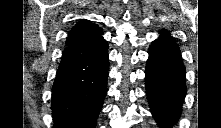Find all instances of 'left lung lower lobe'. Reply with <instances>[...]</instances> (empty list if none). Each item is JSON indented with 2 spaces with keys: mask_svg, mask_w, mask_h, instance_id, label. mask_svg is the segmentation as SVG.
<instances>
[{
  "mask_svg": "<svg viewBox=\"0 0 221 128\" xmlns=\"http://www.w3.org/2000/svg\"><path fill=\"white\" fill-rule=\"evenodd\" d=\"M145 73L151 112L160 127L170 128L180 117L186 85L181 53L169 32L151 44Z\"/></svg>",
  "mask_w": 221,
  "mask_h": 128,
  "instance_id": "0a47b994",
  "label": "left lung lower lobe"
}]
</instances>
